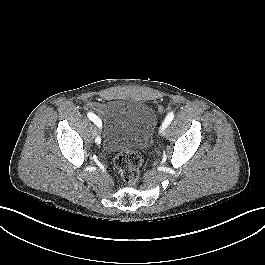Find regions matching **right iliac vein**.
I'll list each match as a JSON object with an SVG mask.
<instances>
[{
  "mask_svg": "<svg viewBox=\"0 0 265 265\" xmlns=\"http://www.w3.org/2000/svg\"><path fill=\"white\" fill-rule=\"evenodd\" d=\"M94 133H95V134L97 133V130H96V129L94 130Z\"/></svg>",
  "mask_w": 265,
  "mask_h": 265,
  "instance_id": "1",
  "label": "right iliac vein"
}]
</instances>
